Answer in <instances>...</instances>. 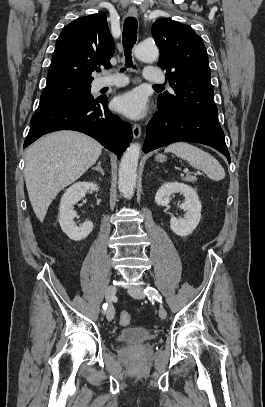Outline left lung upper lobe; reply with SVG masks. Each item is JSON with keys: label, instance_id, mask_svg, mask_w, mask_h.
<instances>
[{"label": "left lung upper lobe", "instance_id": "obj_1", "mask_svg": "<svg viewBox=\"0 0 265 407\" xmlns=\"http://www.w3.org/2000/svg\"><path fill=\"white\" fill-rule=\"evenodd\" d=\"M152 35L160 50L158 66L167 71L173 89L159 95L158 110L188 112L219 124L202 38L191 27L166 18L153 24Z\"/></svg>", "mask_w": 265, "mask_h": 407}]
</instances>
